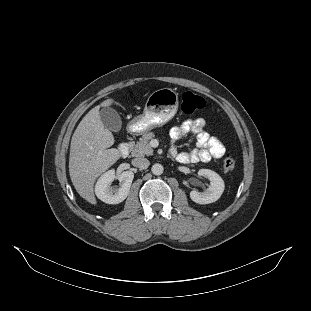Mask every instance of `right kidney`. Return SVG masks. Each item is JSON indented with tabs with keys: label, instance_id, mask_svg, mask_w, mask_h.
<instances>
[{
	"label": "right kidney",
	"instance_id": "1",
	"mask_svg": "<svg viewBox=\"0 0 311 311\" xmlns=\"http://www.w3.org/2000/svg\"><path fill=\"white\" fill-rule=\"evenodd\" d=\"M114 178L115 169H109L98 177L94 186L96 197L107 204L120 203L128 196L134 174L131 171L119 174L120 187L115 190L110 187Z\"/></svg>",
	"mask_w": 311,
	"mask_h": 311
}]
</instances>
